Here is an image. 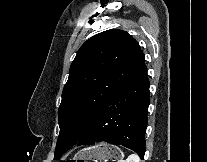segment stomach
Instances as JSON below:
<instances>
[{
  "mask_svg": "<svg viewBox=\"0 0 207 162\" xmlns=\"http://www.w3.org/2000/svg\"><path fill=\"white\" fill-rule=\"evenodd\" d=\"M122 157L123 152L118 147L106 143H100L81 150L75 155L73 160H76V162H78V160H119Z\"/></svg>",
  "mask_w": 207,
  "mask_h": 162,
  "instance_id": "1",
  "label": "stomach"
}]
</instances>
